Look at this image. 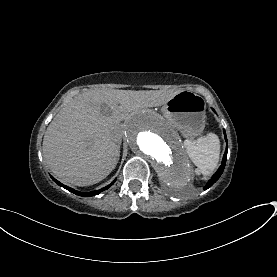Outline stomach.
I'll list each match as a JSON object with an SVG mask.
<instances>
[{
  "mask_svg": "<svg viewBox=\"0 0 277 277\" xmlns=\"http://www.w3.org/2000/svg\"><path fill=\"white\" fill-rule=\"evenodd\" d=\"M164 117L188 139L199 136L205 126V103L201 96L183 90L163 108Z\"/></svg>",
  "mask_w": 277,
  "mask_h": 277,
  "instance_id": "obj_1",
  "label": "stomach"
}]
</instances>
